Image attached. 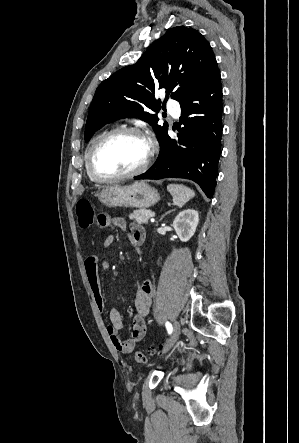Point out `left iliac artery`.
<instances>
[{
  "label": "left iliac artery",
  "mask_w": 299,
  "mask_h": 443,
  "mask_svg": "<svg viewBox=\"0 0 299 443\" xmlns=\"http://www.w3.org/2000/svg\"><path fill=\"white\" fill-rule=\"evenodd\" d=\"M165 325H166V329H167L168 333L171 334L173 331V327H172L171 323L167 321L165 323Z\"/></svg>",
  "instance_id": "left-iliac-artery-1"
}]
</instances>
